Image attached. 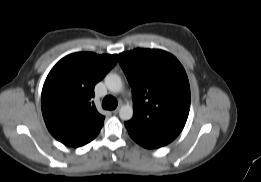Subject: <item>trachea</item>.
<instances>
[{"instance_id":"3493384b","label":"trachea","mask_w":261,"mask_h":182,"mask_svg":"<svg viewBox=\"0 0 261 182\" xmlns=\"http://www.w3.org/2000/svg\"><path fill=\"white\" fill-rule=\"evenodd\" d=\"M117 105V100L110 95L106 96L102 101V107L107 110L115 109Z\"/></svg>"}]
</instances>
